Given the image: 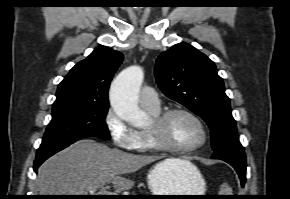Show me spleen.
Returning a JSON list of instances; mask_svg holds the SVG:
<instances>
[{
	"label": "spleen",
	"mask_w": 290,
	"mask_h": 199,
	"mask_svg": "<svg viewBox=\"0 0 290 199\" xmlns=\"http://www.w3.org/2000/svg\"><path fill=\"white\" fill-rule=\"evenodd\" d=\"M219 195H232V189L228 184L223 183L220 187Z\"/></svg>",
	"instance_id": "spleen-1"
}]
</instances>
